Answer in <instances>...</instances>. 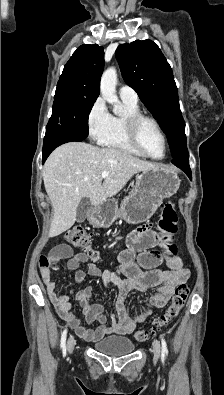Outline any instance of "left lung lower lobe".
Wrapping results in <instances>:
<instances>
[{"label": "left lung lower lobe", "instance_id": "left-lung-lower-lobe-1", "mask_svg": "<svg viewBox=\"0 0 224 395\" xmlns=\"http://www.w3.org/2000/svg\"><path fill=\"white\" fill-rule=\"evenodd\" d=\"M172 163L182 169L187 176L191 179V170L189 167V154L187 148L180 153L177 157L173 158Z\"/></svg>", "mask_w": 224, "mask_h": 395}]
</instances>
